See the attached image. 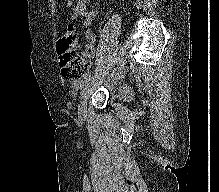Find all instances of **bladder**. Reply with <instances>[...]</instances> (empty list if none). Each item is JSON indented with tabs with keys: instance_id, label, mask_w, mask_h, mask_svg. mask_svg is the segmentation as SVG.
Segmentation results:
<instances>
[{
	"instance_id": "obj_1",
	"label": "bladder",
	"mask_w": 219,
	"mask_h": 192,
	"mask_svg": "<svg viewBox=\"0 0 219 192\" xmlns=\"http://www.w3.org/2000/svg\"><path fill=\"white\" fill-rule=\"evenodd\" d=\"M131 99V91L127 85L119 84L114 90L113 101L120 105H126Z\"/></svg>"
}]
</instances>
